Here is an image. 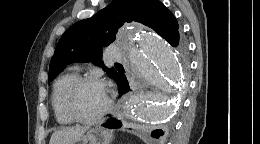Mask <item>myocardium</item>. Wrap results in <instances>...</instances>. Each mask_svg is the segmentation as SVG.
Listing matches in <instances>:
<instances>
[{
	"instance_id": "obj_1",
	"label": "myocardium",
	"mask_w": 260,
	"mask_h": 144,
	"mask_svg": "<svg viewBox=\"0 0 260 144\" xmlns=\"http://www.w3.org/2000/svg\"><path fill=\"white\" fill-rule=\"evenodd\" d=\"M88 83H96V84H100L101 86L104 87V89L106 90L107 93V102L106 105L104 106V108L100 111L99 114L93 116V117H83L80 116L74 107V102L76 99V96L79 92V90ZM112 105V99L108 94L107 88L104 84V82L102 80H100L97 77L94 76H85V77H79L74 83L73 85L70 87V89L68 90L66 97H65V101H64V107H65V111L68 114V116L75 122H79V123H85V124H93V123H97L99 122L109 111L110 107Z\"/></svg>"
}]
</instances>
